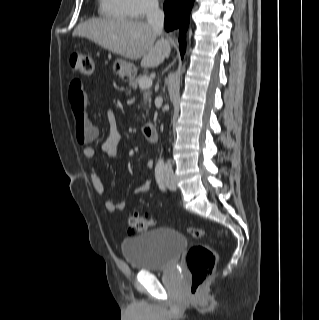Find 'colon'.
Listing matches in <instances>:
<instances>
[{
  "instance_id": "colon-1",
  "label": "colon",
  "mask_w": 319,
  "mask_h": 320,
  "mask_svg": "<svg viewBox=\"0 0 319 320\" xmlns=\"http://www.w3.org/2000/svg\"><path fill=\"white\" fill-rule=\"evenodd\" d=\"M70 65L77 74L89 77L94 71L92 56L84 53H73L70 57ZM75 137L80 144L91 142L95 138V132L87 124L82 115L74 116ZM155 224V220L146 215L131 214L127 218V229L132 234H138ZM188 234L195 238H203L208 233L203 229L189 228ZM217 263V253L213 247L207 244L192 246L186 254V265L191 275L190 294L199 296L204 282L213 274Z\"/></svg>"
}]
</instances>
